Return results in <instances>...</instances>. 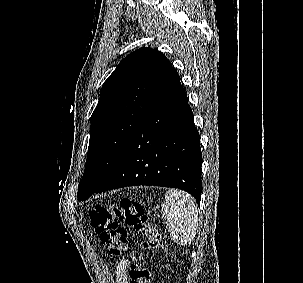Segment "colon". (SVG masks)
Wrapping results in <instances>:
<instances>
[{
  "label": "colon",
  "instance_id": "colon-1",
  "mask_svg": "<svg viewBox=\"0 0 303 283\" xmlns=\"http://www.w3.org/2000/svg\"><path fill=\"white\" fill-rule=\"evenodd\" d=\"M91 224L104 243L111 259L119 258L128 245V233L121 225L143 236L141 248L154 250L161 245V236L145 214L141 203L122 199L117 204L96 205L90 212ZM129 283H151L150 271L132 256Z\"/></svg>",
  "mask_w": 303,
  "mask_h": 283
}]
</instances>
